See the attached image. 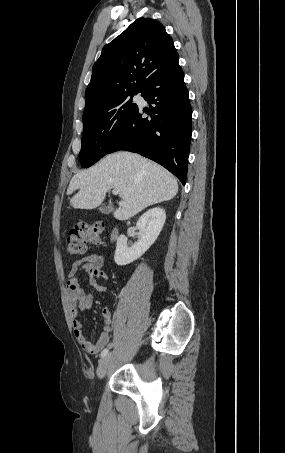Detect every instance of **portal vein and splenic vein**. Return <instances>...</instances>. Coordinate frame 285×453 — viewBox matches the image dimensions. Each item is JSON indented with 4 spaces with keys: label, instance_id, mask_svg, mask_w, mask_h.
Returning a JSON list of instances; mask_svg holds the SVG:
<instances>
[{
    "label": "portal vein and splenic vein",
    "instance_id": "18ae733b",
    "mask_svg": "<svg viewBox=\"0 0 285 453\" xmlns=\"http://www.w3.org/2000/svg\"><path fill=\"white\" fill-rule=\"evenodd\" d=\"M112 193H113L114 195H117V194L119 193V191H118L117 189H113V190H112Z\"/></svg>",
    "mask_w": 285,
    "mask_h": 453
}]
</instances>
